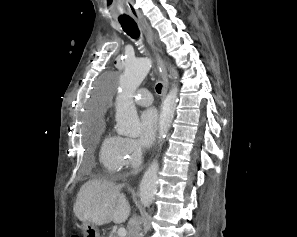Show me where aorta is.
Segmentation results:
<instances>
[{
  "mask_svg": "<svg viewBox=\"0 0 297 237\" xmlns=\"http://www.w3.org/2000/svg\"><path fill=\"white\" fill-rule=\"evenodd\" d=\"M151 65V60L146 58L129 60L125 65V70L119 80L122 91L116 100V130L120 135L136 137L141 133V124L133 96L149 73ZM171 72L174 80H177V71L171 68ZM178 94L179 85L176 82L163 102L159 117V133L161 137L168 133L173 121ZM158 170V162L154 161L145 171L140 182V201L144 207H149L155 199L158 187Z\"/></svg>",
  "mask_w": 297,
  "mask_h": 237,
  "instance_id": "aorta-1",
  "label": "aorta"
}]
</instances>
